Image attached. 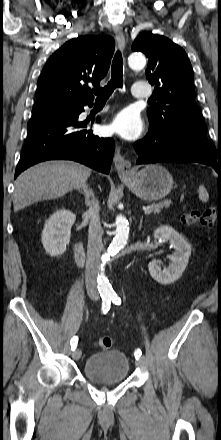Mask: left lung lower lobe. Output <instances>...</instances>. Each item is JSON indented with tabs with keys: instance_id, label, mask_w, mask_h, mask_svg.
<instances>
[{
	"instance_id": "left-lung-lower-lobe-1",
	"label": "left lung lower lobe",
	"mask_w": 221,
	"mask_h": 440,
	"mask_svg": "<svg viewBox=\"0 0 221 440\" xmlns=\"http://www.w3.org/2000/svg\"><path fill=\"white\" fill-rule=\"evenodd\" d=\"M134 147L139 154L137 164L192 161L212 166L221 176V152L198 127L179 124L156 130L150 126L146 137Z\"/></svg>"
}]
</instances>
